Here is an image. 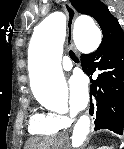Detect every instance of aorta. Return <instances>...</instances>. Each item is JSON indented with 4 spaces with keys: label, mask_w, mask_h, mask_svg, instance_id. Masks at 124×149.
<instances>
[{
    "label": "aorta",
    "mask_w": 124,
    "mask_h": 149,
    "mask_svg": "<svg viewBox=\"0 0 124 149\" xmlns=\"http://www.w3.org/2000/svg\"><path fill=\"white\" fill-rule=\"evenodd\" d=\"M66 18L62 12H54L35 28L29 44V71L31 88L36 100L51 107L66 99L67 85L61 67ZM76 47L90 53L101 43L102 35L94 20L79 16L73 27ZM90 131V119L82 116L74 126L72 145L80 146Z\"/></svg>",
    "instance_id": "762f6f07"
}]
</instances>
